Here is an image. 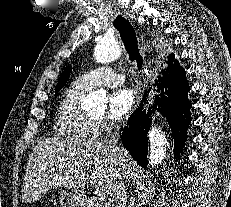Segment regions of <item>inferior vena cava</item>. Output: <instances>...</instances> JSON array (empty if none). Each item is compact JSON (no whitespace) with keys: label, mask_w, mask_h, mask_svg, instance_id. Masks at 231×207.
Masks as SVG:
<instances>
[{"label":"inferior vena cava","mask_w":231,"mask_h":207,"mask_svg":"<svg viewBox=\"0 0 231 207\" xmlns=\"http://www.w3.org/2000/svg\"><path fill=\"white\" fill-rule=\"evenodd\" d=\"M115 128L116 131L112 133L110 140L107 142V144L112 148L113 152L118 156L119 159L118 177L120 182L114 194L115 203H116V207H126L127 192H126V183L124 181V176H123L124 168L127 162L126 151L122 147L118 146L119 135L117 131L120 129V127L116 125Z\"/></svg>","instance_id":"inferior-vena-cava-1"}]
</instances>
